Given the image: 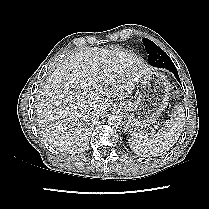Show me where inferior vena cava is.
<instances>
[{
	"mask_svg": "<svg viewBox=\"0 0 209 209\" xmlns=\"http://www.w3.org/2000/svg\"><path fill=\"white\" fill-rule=\"evenodd\" d=\"M94 117H95V118H100V113H95V114H94Z\"/></svg>",
	"mask_w": 209,
	"mask_h": 209,
	"instance_id": "inferior-vena-cava-1",
	"label": "inferior vena cava"
}]
</instances>
